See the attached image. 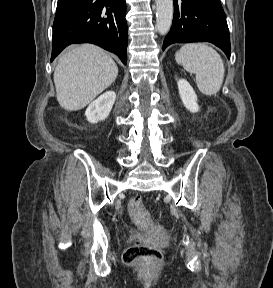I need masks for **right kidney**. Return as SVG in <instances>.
<instances>
[{"instance_id":"ca27d5eb","label":"right kidney","mask_w":273,"mask_h":288,"mask_svg":"<svg viewBox=\"0 0 273 288\" xmlns=\"http://www.w3.org/2000/svg\"><path fill=\"white\" fill-rule=\"evenodd\" d=\"M116 94L114 91H107L93 101L85 111V116L90 123H98L105 120L115 102Z\"/></svg>"}]
</instances>
